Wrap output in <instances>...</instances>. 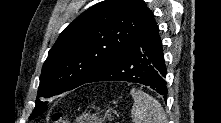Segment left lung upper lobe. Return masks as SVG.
I'll return each instance as SVG.
<instances>
[{
    "label": "left lung upper lobe",
    "mask_w": 221,
    "mask_h": 123,
    "mask_svg": "<svg viewBox=\"0 0 221 123\" xmlns=\"http://www.w3.org/2000/svg\"><path fill=\"white\" fill-rule=\"evenodd\" d=\"M154 21L143 0H105L83 12L48 53L30 119L47 110L46 99L85 84Z\"/></svg>",
    "instance_id": "1"
}]
</instances>
